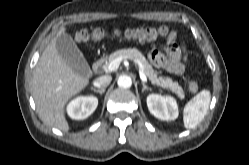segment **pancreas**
Here are the masks:
<instances>
[{"mask_svg":"<svg viewBox=\"0 0 249 165\" xmlns=\"http://www.w3.org/2000/svg\"><path fill=\"white\" fill-rule=\"evenodd\" d=\"M126 58L131 57L139 62L143 66L144 73L146 77L151 81L152 84H156L164 89H169L175 93L181 100L184 99L185 94L182 87L169 77H158L157 72L153 69L152 65L148 62L145 56L136 48L121 49L113 52L109 55L103 68L105 69L110 62L114 61L116 58Z\"/></svg>","mask_w":249,"mask_h":165,"instance_id":"obj_1","label":"pancreas"}]
</instances>
